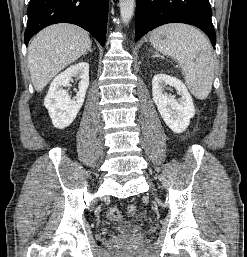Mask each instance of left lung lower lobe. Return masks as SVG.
<instances>
[{
    "label": "left lung lower lobe",
    "instance_id": "1",
    "mask_svg": "<svg viewBox=\"0 0 247 257\" xmlns=\"http://www.w3.org/2000/svg\"><path fill=\"white\" fill-rule=\"evenodd\" d=\"M211 16L209 0H136L135 42L160 25L177 22L200 28L215 48Z\"/></svg>",
    "mask_w": 247,
    "mask_h": 257
}]
</instances>
